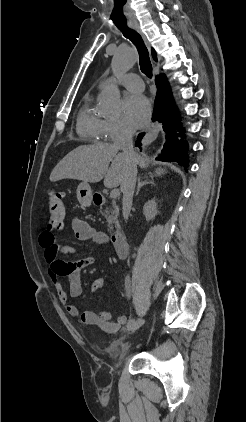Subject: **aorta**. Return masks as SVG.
<instances>
[{"label":"aorta","instance_id":"1","mask_svg":"<svg viewBox=\"0 0 246 422\" xmlns=\"http://www.w3.org/2000/svg\"><path fill=\"white\" fill-rule=\"evenodd\" d=\"M135 61L136 54L132 48H119L112 59V70L114 74L120 75L128 71ZM100 104L104 114L118 116L121 111L119 90L117 88L104 90L100 95Z\"/></svg>","mask_w":246,"mask_h":422}]
</instances>
